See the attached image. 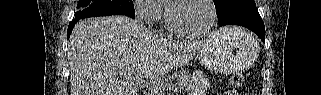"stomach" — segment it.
<instances>
[{
	"label": "stomach",
	"mask_w": 321,
	"mask_h": 95,
	"mask_svg": "<svg viewBox=\"0 0 321 95\" xmlns=\"http://www.w3.org/2000/svg\"><path fill=\"white\" fill-rule=\"evenodd\" d=\"M258 53V41L251 33L228 27L208 38L197 51V56L205 68L231 74L252 65Z\"/></svg>",
	"instance_id": "stomach-1"
}]
</instances>
